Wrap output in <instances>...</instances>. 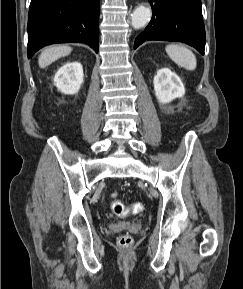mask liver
<instances>
[{
  "mask_svg": "<svg viewBox=\"0 0 243 289\" xmlns=\"http://www.w3.org/2000/svg\"><path fill=\"white\" fill-rule=\"evenodd\" d=\"M71 51L72 48L67 45L50 46L44 49L38 58L40 68H45L57 59L69 55Z\"/></svg>",
  "mask_w": 243,
  "mask_h": 289,
  "instance_id": "1",
  "label": "liver"
}]
</instances>
